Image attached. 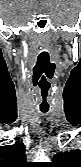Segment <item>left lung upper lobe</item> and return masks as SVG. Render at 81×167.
I'll use <instances>...</instances> for the list:
<instances>
[{
    "mask_svg": "<svg viewBox=\"0 0 81 167\" xmlns=\"http://www.w3.org/2000/svg\"><path fill=\"white\" fill-rule=\"evenodd\" d=\"M48 167H81V151L71 150L59 152L53 157V162Z\"/></svg>",
    "mask_w": 81,
    "mask_h": 167,
    "instance_id": "left-lung-upper-lobe-1",
    "label": "left lung upper lobe"
}]
</instances>
